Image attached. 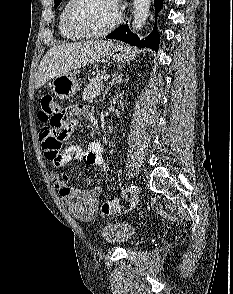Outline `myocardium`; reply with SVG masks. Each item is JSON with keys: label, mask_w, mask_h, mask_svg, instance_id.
I'll return each instance as SVG.
<instances>
[{"label": "myocardium", "mask_w": 233, "mask_h": 294, "mask_svg": "<svg viewBox=\"0 0 233 294\" xmlns=\"http://www.w3.org/2000/svg\"><path fill=\"white\" fill-rule=\"evenodd\" d=\"M82 2H83V0H71V4H70V6L67 10V14H66V23H67L68 28L75 35L79 36L80 38H98V37L105 36V35L109 34L112 30H114L122 20L121 12L119 9H117L116 16H115L114 20L107 27H105L104 29H102L100 31H96V32L84 31L77 26V24L75 23V20H74V14H75L76 8Z\"/></svg>", "instance_id": "obj_1"}]
</instances>
